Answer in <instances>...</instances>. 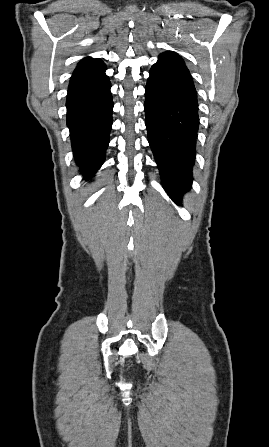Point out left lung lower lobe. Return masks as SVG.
<instances>
[{
	"instance_id": "obj_1",
	"label": "left lung lower lobe",
	"mask_w": 269,
	"mask_h": 447,
	"mask_svg": "<svg viewBox=\"0 0 269 447\" xmlns=\"http://www.w3.org/2000/svg\"><path fill=\"white\" fill-rule=\"evenodd\" d=\"M145 97L148 141L163 187L181 204L192 185L199 118L193 80L179 55L159 56L150 70Z\"/></svg>"
}]
</instances>
